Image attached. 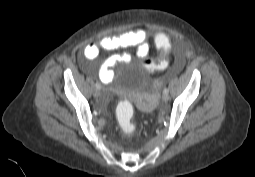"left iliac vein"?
Returning a JSON list of instances; mask_svg holds the SVG:
<instances>
[{"label":"left iliac vein","instance_id":"left-iliac-vein-1","mask_svg":"<svg viewBox=\"0 0 255 177\" xmlns=\"http://www.w3.org/2000/svg\"><path fill=\"white\" fill-rule=\"evenodd\" d=\"M169 98H170V96H169V94L168 93H163V95H162V100L163 101H168L169 100Z\"/></svg>","mask_w":255,"mask_h":177}]
</instances>
